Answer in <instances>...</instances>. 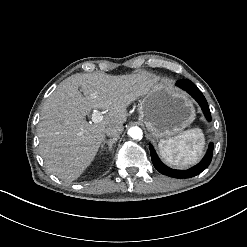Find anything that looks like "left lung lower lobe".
<instances>
[{
    "label": "left lung lower lobe",
    "mask_w": 247,
    "mask_h": 247,
    "mask_svg": "<svg viewBox=\"0 0 247 247\" xmlns=\"http://www.w3.org/2000/svg\"><path fill=\"white\" fill-rule=\"evenodd\" d=\"M176 85L186 90L199 103L205 114V117L208 121H210V110L202 92L190 80H179L176 82ZM213 147V143H210L207 153L204 156V158L200 161V163L188 170H175L164 165L158 158L152 145H150V153L153 165L160 173L174 178H190L200 174L209 166L212 159Z\"/></svg>",
    "instance_id": "left-lung-lower-lobe-1"
}]
</instances>
